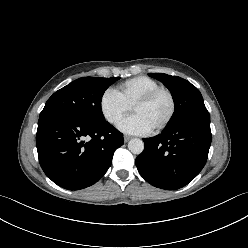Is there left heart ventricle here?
Listing matches in <instances>:
<instances>
[{"label":"left heart ventricle","instance_id":"1","mask_svg":"<svg viewBox=\"0 0 248 248\" xmlns=\"http://www.w3.org/2000/svg\"><path fill=\"white\" fill-rule=\"evenodd\" d=\"M169 110V98L165 94H160L150 103L135 107L133 113L141 116L153 130L165 120Z\"/></svg>","mask_w":248,"mask_h":248}]
</instances>
